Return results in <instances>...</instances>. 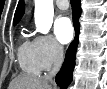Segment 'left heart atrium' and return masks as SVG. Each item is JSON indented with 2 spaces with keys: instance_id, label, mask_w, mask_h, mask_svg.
I'll return each mask as SVG.
<instances>
[{
  "instance_id": "left-heart-atrium-1",
  "label": "left heart atrium",
  "mask_w": 107,
  "mask_h": 89,
  "mask_svg": "<svg viewBox=\"0 0 107 89\" xmlns=\"http://www.w3.org/2000/svg\"><path fill=\"white\" fill-rule=\"evenodd\" d=\"M54 32L61 43H67L73 36V27L68 17L62 16L55 21Z\"/></svg>"
}]
</instances>
